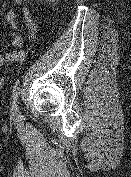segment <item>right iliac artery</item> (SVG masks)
Listing matches in <instances>:
<instances>
[{
    "mask_svg": "<svg viewBox=\"0 0 131 177\" xmlns=\"http://www.w3.org/2000/svg\"><path fill=\"white\" fill-rule=\"evenodd\" d=\"M19 94H20V83L16 82L15 86L13 87V93H12V101H13L12 102V109L14 111L17 110L16 102H17Z\"/></svg>",
    "mask_w": 131,
    "mask_h": 177,
    "instance_id": "obj_1",
    "label": "right iliac artery"
}]
</instances>
